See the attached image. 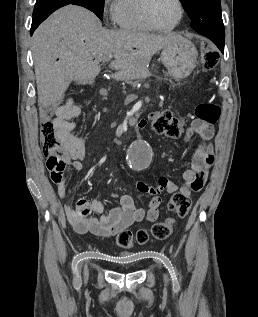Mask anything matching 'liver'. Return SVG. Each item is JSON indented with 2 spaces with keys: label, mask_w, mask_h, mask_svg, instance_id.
I'll return each instance as SVG.
<instances>
[{
  "label": "liver",
  "mask_w": 258,
  "mask_h": 317,
  "mask_svg": "<svg viewBox=\"0 0 258 317\" xmlns=\"http://www.w3.org/2000/svg\"><path fill=\"white\" fill-rule=\"evenodd\" d=\"M100 24L87 8L68 4L36 28L32 52L40 104H56L72 80L93 82L101 70L99 60L110 52L115 58L110 68L140 72L146 70L155 52L184 38L176 32L98 30Z\"/></svg>",
  "instance_id": "1"
}]
</instances>
